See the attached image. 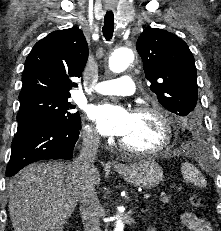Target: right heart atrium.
Returning a JSON list of instances; mask_svg holds the SVG:
<instances>
[{"mask_svg":"<svg viewBox=\"0 0 221 231\" xmlns=\"http://www.w3.org/2000/svg\"><path fill=\"white\" fill-rule=\"evenodd\" d=\"M84 138H85L86 141H89V142H92V143H96L98 141L97 133L90 126L85 127V129H84Z\"/></svg>","mask_w":221,"mask_h":231,"instance_id":"right-heart-atrium-1","label":"right heart atrium"}]
</instances>
